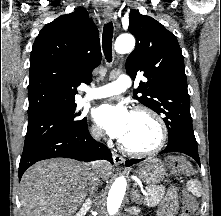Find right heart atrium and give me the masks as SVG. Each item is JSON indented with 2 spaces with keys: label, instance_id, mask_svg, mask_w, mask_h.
Listing matches in <instances>:
<instances>
[{
  "label": "right heart atrium",
  "instance_id": "obj_1",
  "mask_svg": "<svg viewBox=\"0 0 221 216\" xmlns=\"http://www.w3.org/2000/svg\"><path fill=\"white\" fill-rule=\"evenodd\" d=\"M90 135L94 140H100L102 137L100 129L94 125L90 128Z\"/></svg>",
  "mask_w": 221,
  "mask_h": 216
}]
</instances>
